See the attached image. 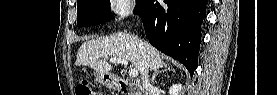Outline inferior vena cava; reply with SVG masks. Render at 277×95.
Segmentation results:
<instances>
[{
  "mask_svg": "<svg viewBox=\"0 0 277 95\" xmlns=\"http://www.w3.org/2000/svg\"><path fill=\"white\" fill-rule=\"evenodd\" d=\"M140 48V53H141V60H140V74H141V85L142 88L145 91H150L151 90V85L149 82V74H148V63H147V59L146 56L144 54V50L143 47L141 45H139Z\"/></svg>",
  "mask_w": 277,
  "mask_h": 95,
  "instance_id": "1",
  "label": "inferior vena cava"
}]
</instances>
